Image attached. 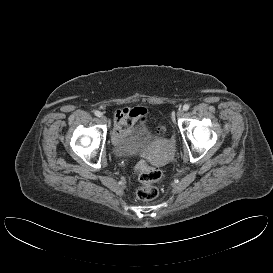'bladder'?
<instances>
[{"label": "bladder", "instance_id": "1", "mask_svg": "<svg viewBox=\"0 0 273 273\" xmlns=\"http://www.w3.org/2000/svg\"><path fill=\"white\" fill-rule=\"evenodd\" d=\"M150 138L149 130L146 126H141L135 135L130 136L125 142L115 147L118 156H128L141 152L143 144Z\"/></svg>", "mask_w": 273, "mask_h": 273}]
</instances>
